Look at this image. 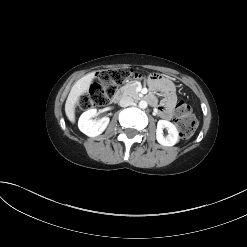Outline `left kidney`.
Masks as SVG:
<instances>
[{"mask_svg": "<svg viewBox=\"0 0 247 247\" xmlns=\"http://www.w3.org/2000/svg\"><path fill=\"white\" fill-rule=\"evenodd\" d=\"M167 128V137L163 136V129ZM156 139L158 143L164 146H173L179 140V134L175 125L167 120H159L157 123Z\"/></svg>", "mask_w": 247, "mask_h": 247, "instance_id": "obj_1", "label": "left kidney"}]
</instances>
